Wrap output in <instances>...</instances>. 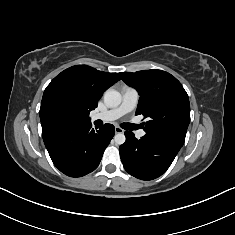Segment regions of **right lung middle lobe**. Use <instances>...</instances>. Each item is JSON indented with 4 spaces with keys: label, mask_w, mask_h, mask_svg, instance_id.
<instances>
[{
    "label": "right lung middle lobe",
    "mask_w": 235,
    "mask_h": 235,
    "mask_svg": "<svg viewBox=\"0 0 235 235\" xmlns=\"http://www.w3.org/2000/svg\"><path fill=\"white\" fill-rule=\"evenodd\" d=\"M50 121L53 125L58 126L66 122L68 113L64 106L60 104H54L50 111Z\"/></svg>",
    "instance_id": "right-lung-middle-lobe-1"
}]
</instances>
